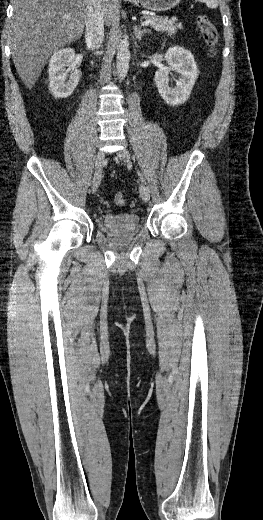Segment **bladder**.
Listing matches in <instances>:
<instances>
[{"label": "bladder", "instance_id": "bladder-1", "mask_svg": "<svg viewBox=\"0 0 263 520\" xmlns=\"http://www.w3.org/2000/svg\"><path fill=\"white\" fill-rule=\"evenodd\" d=\"M102 221L104 227L114 233L130 232L140 227V216L136 213L106 214Z\"/></svg>", "mask_w": 263, "mask_h": 520}]
</instances>
